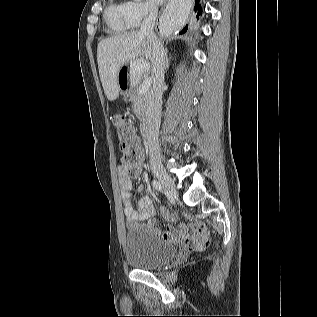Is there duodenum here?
Instances as JSON below:
<instances>
[{
    "instance_id": "duodenum-1",
    "label": "duodenum",
    "mask_w": 317,
    "mask_h": 317,
    "mask_svg": "<svg viewBox=\"0 0 317 317\" xmlns=\"http://www.w3.org/2000/svg\"><path fill=\"white\" fill-rule=\"evenodd\" d=\"M142 136H143V139L145 140L146 143L150 142L151 131H150V127L147 123H144L142 125Z\"/></svg>"
}]
</instances>
